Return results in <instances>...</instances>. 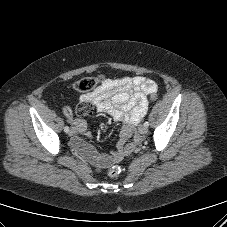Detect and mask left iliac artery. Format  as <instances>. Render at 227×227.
I'll list each match as a JSON object with an SVG mask.
<instances>
[{"label": "left iliac artery", "instance_id": "obj_1", "mask_svg": "<svg viewBox=\"0 0 227 227\" xmlns=\"http://www.w3.org/2000/svg\"><path fill=\"white\" fill-rule=\"evenodd\" d=\"M144 125H145L146 127H148V126H149V123L146 121V122L144 123Z\"/></svg>", "mask_w": 227, "mask_h": 227}]
</instances>
